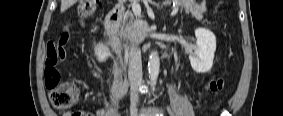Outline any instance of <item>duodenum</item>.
<instances>
[{
  "mask_svg": "<svg viewBox=\"0 0 283 116\" xmlns=\"http://www.w3.org/2000/svg\"><path fill=\"white\" fill-rule=\"evenodd\" d=\"M124 5H116L111 9L105 17L104 27L108 37V45L116 55L117 62L119 64L126 63L128 59L127 53L122 49L118 37L116 35L117 25L123 15ZM125 80H121L118 83L119 87H124Z\"/></svg>",
  "mask_w": 283,
  "mask_h": 116,
  "instance_id": "1",
  "label": "duodenum"
}]
</instances>
